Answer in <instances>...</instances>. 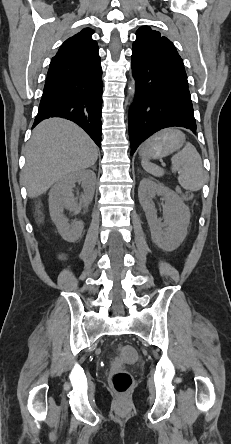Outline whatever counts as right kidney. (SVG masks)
<instances>
[{"instance_id":"obj_1","label":"right kidney","mask_w":231,"mask_h":444,"mask_svg":"<svg viewBox=\"0 0 231 444\" xmlns=\"http://www.w3.org/2000/svg\"><path fill=\"white\" fill-rule=\"evenodd\" d=\"M96 175L90 170H82L69 174L58 181L49 193L50 217L56 225L61 236L69 242L76 241L82 234L84 224L81 221L68 222L64 215V209L80 212L82 207H86L92 201L95 190ZM81 183L84 189L82 199L78 204L73 197L75 183Z\"/></svg>"}]
</instances>
